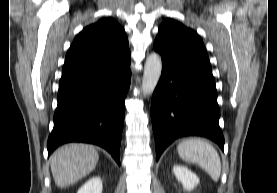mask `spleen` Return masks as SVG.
I'll return each mask as SVG.
<instances>
[{
	"instance_id": "spleen-1",
	"label": "spleen",
	"mask_w": 277,
	"mask_h": 193,
	"mask_svg": "<svg viewBox=\"0 0 277 193\" xmlns=\"http://www.w3.org/2000/svg\"><path fill=\"white\" fill-rule=\"evenodd\" d=\"M177 151L183 160L202 167L214 181H218L221 174V160L216 149L207 141L200 138L183 140Z\"/></svg>"
}]
</instances>
